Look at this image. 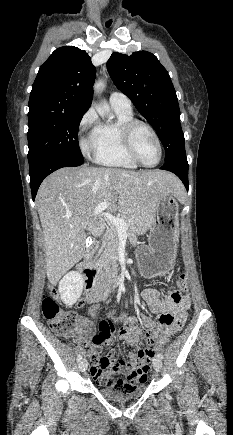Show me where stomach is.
Wrapping results in <instances>:
<instances>
[{"label": "stomach", "instance_id": "stomach-1", "mask_svg": "<svg viewBox=\"0 0 233 435\" xmlns=\"http://www.w3.org/2000/svg\"><path fill=\"white\" fill-rule=\"evenodd\" d=\"M179 205L174 194L158 204L148 245L136 250L138 270L142 277L152 279L168 274L175 263L179 239Z\"/></svg>", "mask_w": 233, "mask_h": 435}]
</instances>
